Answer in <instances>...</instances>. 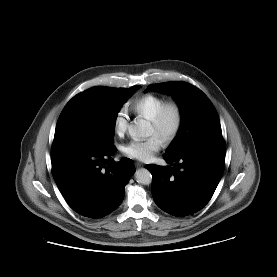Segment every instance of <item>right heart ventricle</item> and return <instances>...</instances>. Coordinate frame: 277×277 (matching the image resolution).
<instances>
[{"label":"right heart ventricle","instance_id":"right-heart-ventricle-1","mask_svg":"<svg viewBox=\"0 0 277 277\" xmlns=\"http://www.w3.org/2000/svg\"><path fill=\"white\" fill-rule=\"evenodd\" d=\"M166 101L163 96L148 93L134 99L130 103V108L136 115L151 120Z\"/></svg>","mask_w":277,"mask_h":277}]
</instances>
